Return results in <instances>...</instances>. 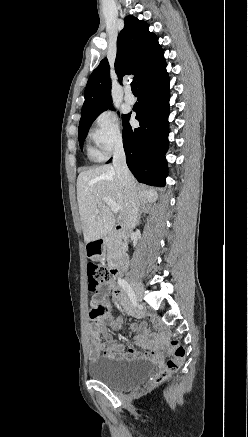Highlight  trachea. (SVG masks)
I'll return each mask as SVG.
<instances>
[{
    "instance_id": "1",
    "label": "trachea",
    "mask_w": 248,
    "mask_h": 437,
    "mask_svg": "<svg viewBox=\"0 0 248 437\" xmlns=\"http://www.w3.org/2000/svg\"><path fill=\"white\" fill-rule=\"evenodd\" d=\"M131 89H132V92H133V93H137V92H138V90H137V86H136V82H135V81H132V82H131Z\"/></svg>"
}]
</instances>
